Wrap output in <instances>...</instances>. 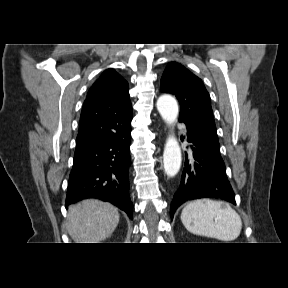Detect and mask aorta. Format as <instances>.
I'll return each instance as SVG.
<instances>
[{"label":"aorta","instance_id":"762f6f07","mask_svg":"<svg viewBox=\"0 0 288 288\" xmlns=\"http://www.w3.org/2000/svg\"><path fill=\"white\" fill-rule=\"evenodd\" d=\"M157 109L167 125H172L178 116V104L175 98L170 95H162L157 100ZM181 149L177 139L170 135L167 138L164 153L163 164L167 176L174 177L181 167Z\"/></svg>","mask_w":288,"mask_h":288}]
</instances>
